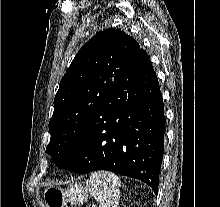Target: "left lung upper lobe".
Instances as JSON below:
<instances>
[{
    "mask_svg": "<svg viewBox=\"0 0 220 207\" xmlns=\"http://www.w3.org/2000/svg\"><path fill=\"white\" fill-rule=\"evenodd\" d=\"M140 48L119 29H107L77 53L61 79L49 122L46 153L56 164L89 129L112 87Z\"/></svg>",
    "mask_w": 220,
    "mask_h": 207,
    "instance_id": "obj_1",
    "label": "left lung upper lobe"
}]
</instances>
